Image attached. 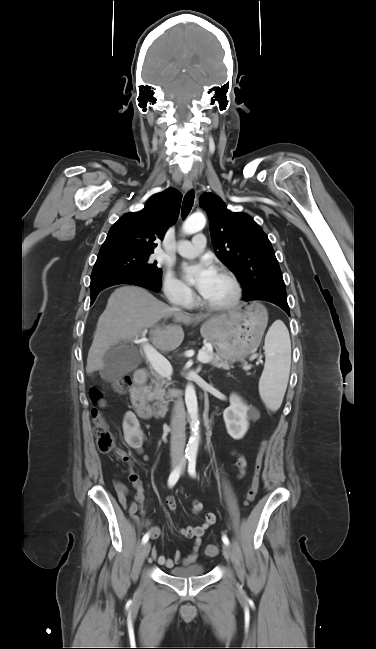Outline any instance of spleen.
Instances as JSON below:
<instances>
[{
  "instance_id": "obj_1",
  "label": "spleen",
  "mask_w": 376,
  "mask_h": 649,
  "mask_svg": "<svg viewBox=\"0 0 376 649\" xmlns=\"http://www.w3.org/2000/svg\"><path fill=\"white\" fill-rule=\"evenodd\" d=\"M265 366L259 380V393L266 407L276 411L286 391L290 364L291 342L286 326L275 322L265 337Z\"/></svg>"
}]
</instances>
